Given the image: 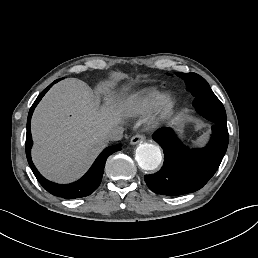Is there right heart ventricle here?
Returning <instances> with one entry per match:
<instances>
[{"label":"right heart ventricle","mask_w":258,"mask_h":258,"mask_svg":"<svg viewBox=\"0 0 258 258\" xmlns=\"http://www.w3.org/2000/svg\"><path fill=\"white\" fill-rule=\"evenodd\" d=\"M159 93V90L154 87L145 89L140 94L128 99L125 107L136 112L138 115L145 114L154 107Z\"/></svg>","instance_id":"1"}]
</instances>
